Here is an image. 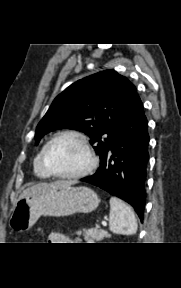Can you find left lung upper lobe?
<instances>
[{
    "label": "left lung upper lobe",
    "instance_id": "1",
    "mask_svg": "<svg viewBox=\"0 0 181 288\" xmlns=\"http://www.w3.org/2000/svg\"><path fill=\"white\" fill-rule=\"evenodd\" d=\"M135 86L114 70H105L70 85L53 101L37 125L36 145L61 128L84 132L100 156L106 154L137 96Z\"/></svg>",
    "mask_w": 181,
    "mask_h": 288
}]
</instances>
